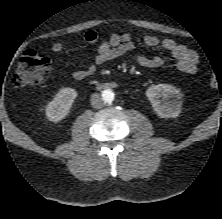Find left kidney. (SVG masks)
I'll return each mask as SVG.
<instances>
[{
  "label": "left kidney",
  "instance_id": "5707ae66",
  "mask_svg": "<svg viewBox=\"0 0 222 219\" xmlns=\"http://www.w3.org/2000/svg\"><path fill=\"white\" fill-rule=\"evenodd\" d=\"M146 96L155 113L161 118H176L181 113L180 91L172 85H153L147 89Z\"/></svg>",
  "mask_w": 222,
  "mask_h": 219
}]
</instances>
